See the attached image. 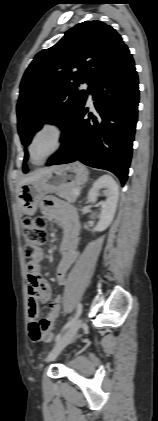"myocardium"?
Masks as SVG:
<instances>
[{
	"instance_id": "f54148a6",
	"label": "myocardium",
	"mask_w": 158,
	"mask_h": 421,
	"mask_svg": "<svg viewBox=\"0 0 158 421\" xmlns=\"http://www.w3.org/2000/svg\"><path fill=\"white\" fill-rule=\"evenodd\" d=\"M47 129L52 130L55 134L54 148L41 160L34 161L33 157H32L33 143H34L35 139L37 138V136L41 132H43L44 130H47ZM64 139H65V127L60 120L54 119V118H49V119H45L44 121H42L33 130L32 134L30 136L29 142H28L27 152H28V157H29L30 162L34 165H41V164L45 163L49 158H51L53 155H55L61 149V147L64 143Z\"/></svg>"
}]
</instances>
